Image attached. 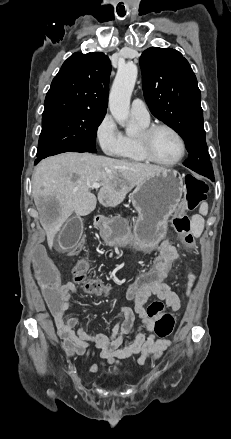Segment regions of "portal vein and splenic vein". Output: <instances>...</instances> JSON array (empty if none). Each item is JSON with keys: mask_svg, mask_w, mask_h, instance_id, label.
<instances>
[{"mask_svg": "<svg viewBox=\"0 0 231 439\" xmlns=\"http://www.w3.org/2000/svg\"><path fill=\"white\" fill-rule=\"evenodd\" d=\"M100 186H101L100 183H94V184L92 185V188H93V189H98V188H100Z\"/></svg>", "mask_w": 231, "mask_h": 439, "instance_id": "obj_1", "label": "portal vein and splenic vein"}]
</instances>
